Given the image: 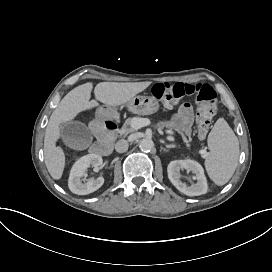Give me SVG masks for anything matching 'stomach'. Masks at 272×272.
Returning a JSON list of instances; mask_svg holds the SVG:
<instances>
[{
	"label": "stomach",
	"instance_id": "obj_1",
	"mask_svg": "<svg viewBox=\"0 0 272 272\" xmlns=\"http://www.w3.org/2000/svg\"><path fill=\"white\" fill-rule=\"evenodd\" d=\"M128 108L138 115H150L159 111L158 99L152 96H135L129 103Z\"/></svg>",
	"mask_w": 272,
	"mask_h": 272
}]
</instances>
